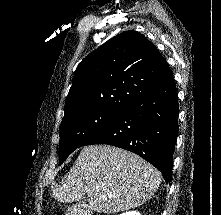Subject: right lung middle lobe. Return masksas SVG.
Here are the masks:
<instances>
[{
	"label": "right lung middle lobe",
	"instance_id": "dd1d6c3e",
	"mask_svg": "<svg viewBox=\"0 0 221 215\" xmlns=\"http://www.w3.org/2000/svg\"><path fill=\"white\" fill-rule=\"evenodd\" d=\"M119 115L116 111L88 109L64 116L60 126L59 164L87 140L114 122Z\"/></svg>",
	"mask_w": 221,
	"mask_h": 215
}]
</instances>
